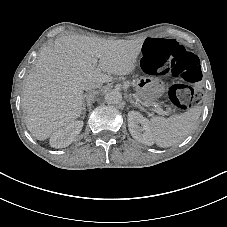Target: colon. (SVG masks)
Here are the masks:
<instances>
[{
    "label": "colon",
    "mask_w": 227,
    "mask_h": 227,
    "mask_svg": "<svg viewBox=\"0 0 227 227\" xmlns=\"http://www.w3.org/2000/svg\"><path fill=\"white\" fill-rule=\"evenodd\" d=\"M142 62L146 73L175 81L168 90L175 107L186 109L200 100L202 92L195 84L201 80L202 70L193 51L175 40L149 38L142 48Z\"/></svg>",
    "instance_id": "obj_1"
}]
</instances>
